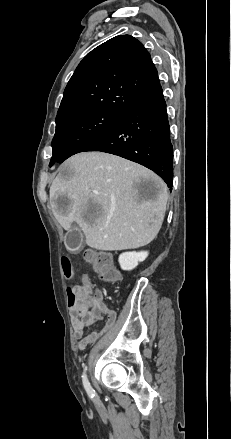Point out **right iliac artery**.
I'll list each match as a JSON object with an SVG mask.
<instances>
[{
    "mask_svg": "<svg viewBox=\"0 0 231 439\" xmlns=\"http://www.w3.org/2000/svg\"><path fill=\"white\" fill-rule=\"evenodd\" d=\"M86 370H87V367L85 366V367H84V373H83V375H82L83 385H84V388H85L87 394L89 395V397H90V398H93V397H94V393H95V391H94V389L91 387V385H90V383H89V381H88V378H87V375H86Z\"/></svg>",
    "mask_w": 231,
    "mask_h": 439,
    "instance_id": "1",
    "label": "right iliac artery"
}]
</instances>
